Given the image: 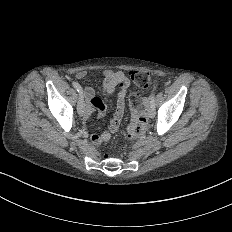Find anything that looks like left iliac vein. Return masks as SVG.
I'll use <instances>...</instances> for the list:
<instances>
[{
    "instance_id": "obj_1",
    "label": "left iliac vein",
    "mask_w": 232,
    "mask_h": 232,
    "mask_svg": "<svg viewBox=\"0 0 232 232\" xmlns=\"http://www.w3.org/2000/svg\"><path fill=\"white\" fill-rule=\"evenodd\" d=\"M147 114H148V116H149L150 118H153V117L155 116V111L152 110V109H149V110L147 111Z\"/></svg>"
}]
</instances>
